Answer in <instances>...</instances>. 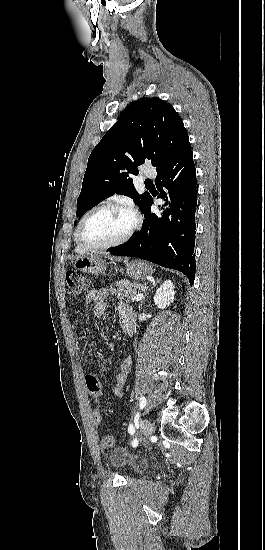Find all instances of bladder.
I'll use <instances>...</instances> for the list:
<instances>
[{
  "mask_svg": "<svg viewBox=\"0 0 265 550\" xmlns=\"http://www.w3.org/2000/svg\"><path fill=\"white\" fill-rule=\"evenodd\" d=\"M108 461L115 468H127L132 473H140L146 467L144 458L129 453L121 447L110 450L107 454Z\"/></svg>",
  "mask_w": 265,
  "mask_h": 550,
  "instance_id": "bladder-1",
  "label": "bladder"
}]
</instances>
